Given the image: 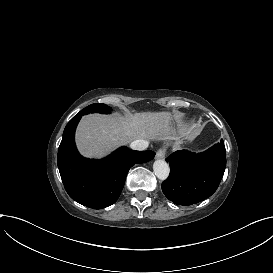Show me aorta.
Wrapping results in <instances>:
<instances>
[{"mask_svg":"<svg viewBox=\"0 0 273 273\" xmlns=\"http://www.w3.org/2000/svg\"><path fill=\"white\" fill-rule=\"evenodd\" d=\"M153 171L158 179L165 180L169 176L170 168L167 162L159 159L154 162Z\"/></svg>","mask_w":273,"mask_h":273,"instance_id":"aorta-1","label":"aorta"}]
</instances>
